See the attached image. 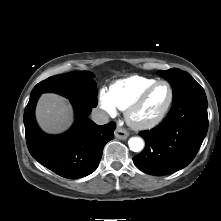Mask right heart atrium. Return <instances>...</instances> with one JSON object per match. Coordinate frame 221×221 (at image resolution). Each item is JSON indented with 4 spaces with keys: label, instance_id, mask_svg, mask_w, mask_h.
I'll use <instances>...</instances> for the list:
<instances>
[{
    "label": "right heart atrium",
    "instance_id": "1",
    "mask_svg": "<svg viewBox=\"0 0 221 221\" xmlns=\"http://www.w3.org/2000/svg\"><path fill=\"white\" fill-rule=\"evenodd\" d=\"M99 104L107 114L114 115L116 113V106L112 102L109 92L104 89L99 92Z\"/></svg>",
    "mask_w": 221,
    "mask_h": 221
}]
</instances>
